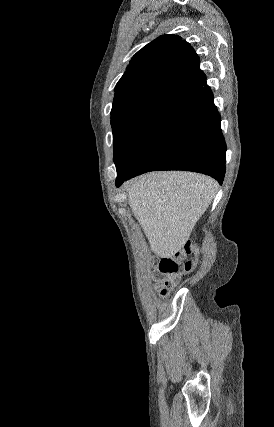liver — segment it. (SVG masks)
<instances>
[{
	"label": "liver",
	"mask_w": 274,
	"mask_h": 427,
	"mask_svg": "<svg viewBox=\"0 0 274 427\" xmlns=\"http://www.w3.org/2000/svg\"><path fill=\"white\" fill-rule=\"evenodd\" d=\"M124 188L153 253L171 257L211 204L217 182L192 172H151L125 182Z\"/></svg>",
	"instance_id": "1"
}]
</instances>
